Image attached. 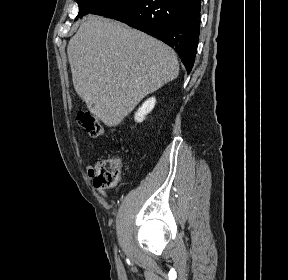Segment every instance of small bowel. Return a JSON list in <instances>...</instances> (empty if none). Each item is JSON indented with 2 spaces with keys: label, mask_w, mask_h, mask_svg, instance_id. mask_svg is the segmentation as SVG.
<instances>
[{
  "label": "small bowel",
  "mask_w": 288,
  "mask_h": 280,
  "mask_svg": "<svg viewBox=\"0 0 288 280\" xmlns=\"http://www.w3.org/2000/svg\"><path fill=\"white\" fill-rule=\"evenodd\" d=\"M87 176L89 178H93L94 177V169L92 167H88L87 168ZM100 195L104 198H106V194L103 191H99Z\"/></svg>",
  "instance_id": "obj_1"
}]
</instances>
